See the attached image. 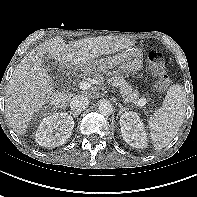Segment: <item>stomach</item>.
Segmentation results:
<instances>
[{
  "label": "stomach",
  "instance_id": "1",
  "mask_svg": "<svg viewBox=\"0 0 197 197\" xmlns=\"http://www.w3.org/2000/svg\"><path fill=\"white\" fill-rule=\"evenodd\" d=\"M143 67V53L139 49H126L121 53L93 61L85 70L95 69L98 72L112 75L140 71Z\"/></svg>",
  "mask_w": 197,
  "mask_h": 197
}]
</instances>
